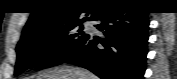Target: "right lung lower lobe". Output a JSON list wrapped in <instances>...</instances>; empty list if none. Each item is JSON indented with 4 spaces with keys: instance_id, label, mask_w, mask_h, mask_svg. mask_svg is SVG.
I'll return each instance as SVG.
<instances>
[{
    "instance_id": "right-lung-lower-lobe-1",
    "label": "right lung lower lobe",
    "mask_w": 177,
    "mask_h": 79,
    "mask_svg": "<svg viewBox=\"0 0 177 79\" xmlns=\"http://www.w3.org/2000/svg\"><path fill=\"white\" fill-rule=\"evenodd\" d=\"M92 21L104 38L88 35L63 62L89 69L102 79H143L147 55V12L116 5Z\"/></svg>"
}]
</instances>
